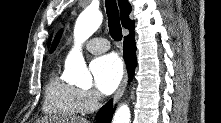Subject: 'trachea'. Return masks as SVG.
I'll list each match as a JSON object with an SVG mask.
<instances>
[{
  "label": "trachea",
  "instance_id": "obj_1",
  "mask_svg": "<svg viewBox=\"0 0 221 123\" xmlns=\"http://www.w3.org/2000/svg\"><path fill=\"white\" fill-rule=\"evenodd\" d=\"M105 4L110 35L115 41H119L122 39V29L117 3L115 0H106Z\"/></svg>",
  "mask_w": 221,
  "mask_h": 123
}]
</instances>
